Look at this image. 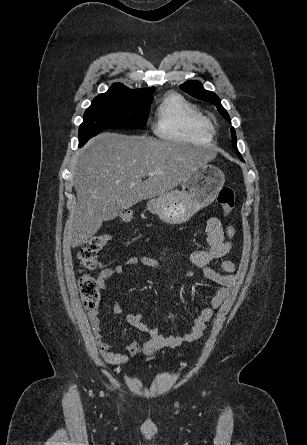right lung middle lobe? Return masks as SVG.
Masks as SVG:
<instances>
[{
  "label": "right lung middle lobe",
  "mask_w": 307,
  "mask_h": 445,
  "mask_svg": "<svg viewBox=\"0 0 307 445\" xmlns=\"http://www.w3.org/2000/svg\"><path fill=\"white\" fill-rule=\"evenodd\" d=\"M152 100L99 95L84 113L79 128V141L86 143L91 137L109 128L139 129L146 125Z\"/></svg>",
  "instance_id": "right-lung-middle-lobe-1"
}]
</instances>
